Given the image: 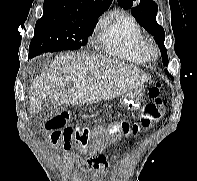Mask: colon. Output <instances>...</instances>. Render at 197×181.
I'll list each match as a JSON object with an SVG mask.
<instances>
[{"mask_svg":"<svg viewBox=\"0 0 197 181\" xmlns=\"http://www.w3.org/2000/svg\"><path fill=\"white\" fill-rule=\"evenodd\" d=\"M161 87V83H156L149 89L150 101L143 106L138 122L122 121L93 128L67 126L69 115L62 113L49 120L44 129L49 134L50 142L54 147L61 146L64 150L76 147L81 151L90 150L100 153L110 142L115 141L121 135L131 132L139 133L142 129L150 128L161 118L164 112Z\"/></svg>","mask_w":197,"mask_h":181,"instance_id":"colon-1","label":"colon"}]
</instances>
